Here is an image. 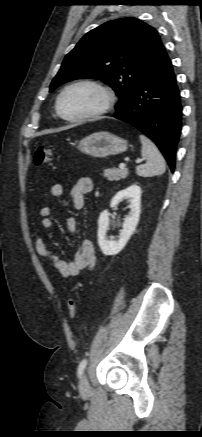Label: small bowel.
<instances>
[{"mask_svg": "<svg viewBox=\"0 0 202 437\" xmlns=\"http://www.w3.org/2000/svg\"><path fill=\"white\" fill-rule=\"evenodd\" d=\"M92 190L93 181L89 177L79 178L68 190V198L71 207L76 211L82 210L85 205L84 197ZM64 192L65 187L60 183L54 184L50 188L52 197H61ZM39 214L42 218L41 228L43 230H51L54 227L52 208L44 206L40 209ZM66 225L71 234L76 232L77 221L74 217H68ZM35 250L64 278L77 276L82 270L93 268L96 263L95 246L90 239H83L81 241L78 250L74 252L70 260H63L58 254L48 248L46 243L39 236L35 239Z\"/></svg>", "mask_w": 202, "mask_h": 437, "instance_id": "1", "label": "small bowel"}]
</instances>
